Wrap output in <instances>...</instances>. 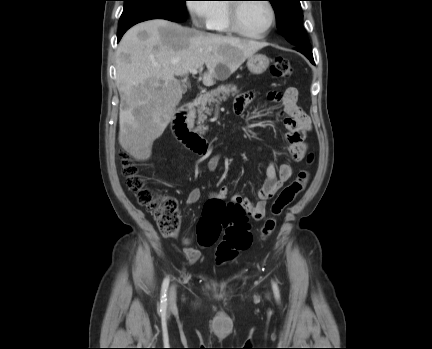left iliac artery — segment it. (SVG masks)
Masks as SVG:
<instances>
[{"instance_id":"obj_1","label":"left iliac artery","mask_w":432,"mask_h":349,"mask_svg":"<svg viewBox=\"0 0 432 349\" xmlns=\"http://www.w3.org/2000/svg\"><path fill=\"white\" fill-rule=\"evenodd\" d=\"M272 288H273V291H274L275 298L277 300H279L280 299V293H279L278 286H277V284L275 282L272 283Z\"/></svg>"}]
</instances>
